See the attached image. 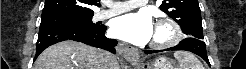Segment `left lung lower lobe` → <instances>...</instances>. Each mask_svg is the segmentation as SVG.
<instances>
[{
	"instance_id": "obj_1",
	"label": "left lung lower lobe",
	"mask_w": 246,
	"mask_h": 69,
	"mask_svg": "<svg viewBox=\"0 0 246 69\" xmlns=\"http://www.w3.org/2000/svg\"><path fill=\"white\" fill-rule=\"evenodd\" d=\"M168 50H186V51L193 52L199 55L201 58H203L210 65L206 53V44L202 40L192 37L182 40L178 45L174 47L165 50H145V53L152 54V53H157L160 51H168Z\"/></svg>"
}]
</instances>
